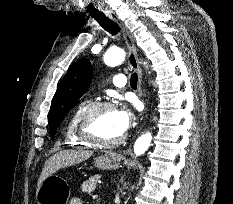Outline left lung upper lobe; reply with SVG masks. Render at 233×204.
Listing matches in <instances>:
<instances>
[{
    "instance_id": "left-lung-upper-lobe-1",
    "label": "left lung upper lobe",
    "mask_w": 233,
    "mask_h": 204,
    "mask_svg": "<svg viewBox=\"0 0 233 204\" xmlns=\"http://www.w3.org/2000/svg\"><path fill=\"white\" fill-rule=\"evenodd\" d=\"M92 80V66L88 59L75 63L59 84L49 114L51 138L54 139L60 122L80 97L87 91Z\"/></svg>"
}]
</instances>
